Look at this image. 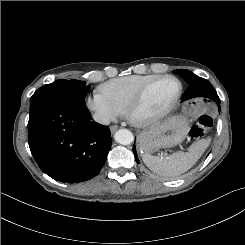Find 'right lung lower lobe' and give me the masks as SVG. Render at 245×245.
Instances as JSON below:
<instances>
[{
  "instance_id": "1",
  "label": "right lung lower lobe",
  "mask_w": 245,
  "mask_h": 245,
  "mask_svg": "<svg viewBox=\"0 0 245 245\" xmlns=\"http://www.w3.org/2000/svg\"><path fill=\"white\" fill-rule=\"evenodd\" d=\"M28 143L44 173L74 183L100 172L112 138L109 127L92 121L87 107L47 101L30 109Z\"/></svg>"
}]
</instances>
